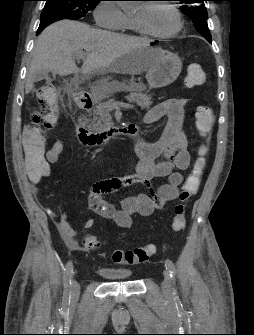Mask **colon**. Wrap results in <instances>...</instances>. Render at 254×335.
<instances>
[{
    "mask_svg": "<svg viewBox=\"0 0 254 335\" xmlns=\"http://www.w3.org/2000/svg\"><path fill=\"white\" fill-rule=\"evenodd\" d=\"M205 80V73L198 64H190L187 67L185 84L188 87L201 85ZM43 102L42 110L35 113L32 122L25 128L23 147L25 154H21V161L25 178H50L51 169L45 158L44 142L45 130L52 128L58 117V98L54 89L43 88L40 92ZM195 119L198 133L207 137L214 123L213 110L209 106H198L195 110ZM207 149L202 146L198 150L192 172L187 177L178 195V202L174 207V215L171 229L175 232L182 231L186 225V203L195 195L200 187L203 172L206 166ZM84 247L89 250H97L100 242L94 236H86ZM156 251L153 244L136 247L130 250L117 249L111 253L113 262L117 264L136 265L147 261Z\"/></svg>",
    "mask_w": 254,
    "mask_h": 335,
    "instance_id": "1",
    "label": "colon"
}]
</instances>
